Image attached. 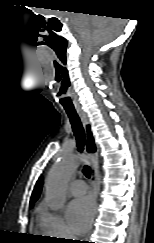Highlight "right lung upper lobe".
Wrapping results in <instances>:
<instances>
[{
  "label": "right lung upper lobe",
  "instance_id": "cb5924a9",
  "mask_svg": "<svg viewBox=\"0 0 154 243\" xmlns=\"http://www.w3.org/2000/svg\"><path fill=\"white\" fill-rule=\"evenodd\" d=\"M42 184H43V179L40 177L34 187L31 200H30V206H33L34 202L39 198L42 189Z\"/></svg>",
  "mask_w": 154,
  "mask_h": 243
}]
</instances>
